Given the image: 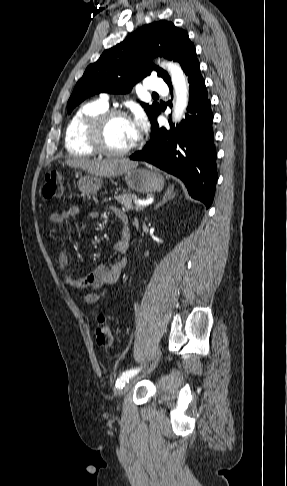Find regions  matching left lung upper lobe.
Returning <instances> with one entry per match:
<instances>
[{"mask_svg": "<svg viewBox=\"0 0 287 486\" xmlns=\"http://www.w3.org/2000/svg\"><path fill=\"white\" fill-rule=\"evenodd\" d=\"M156 56L177 61L184 70L196 57V50L188 33L170 21L160 20L144 25L123 42L105 50L95 63L86 68L68 101L67 112L70 114L82 101L97 93H128L153 69L167 84L171 83L168 73L151 63V58ZM141 105L151 122L161 111L155 102L152 105L141 102Z\"/></svg>", "mask_w": 287, "mask_h": 486, "instance_id": "5c2ea615", "label": "left lung upper lobe"}]
</instances>
